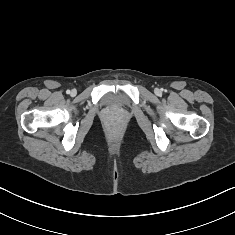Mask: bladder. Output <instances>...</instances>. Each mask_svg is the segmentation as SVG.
I'll return each mask as SVG.
<instances>
[{
    "label": "bladder",
    "mask_w": 235,
    "mask_h": 235,
    "mask_svg": "<svg viewBox=\"0 0 235 235\" xmlns=\"http://www.w3.org/2000/svg\"><path fill=\"white\" fill-rule=\"evenodd\" d=\"M104 104L111 109H118L130 104L129 97L123 92L108 93L104 97Z\"/></svg>",
    "instance_id": "bladder-1"
}]
</instances>
